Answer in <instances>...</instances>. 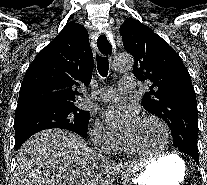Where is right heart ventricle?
Segmentation results:
<instances>
[{
    "label": "right heart ventricle",
    "mask_w": 207,
    "mask_h": 185,
    "mask_svg": "<svg viewBox=\"0 0 207 185\" xmlns=\"http://www.w3.org/2000/svg\"><path fill=\"white\" fill-rule=\"evenodd\" d=\"M112 149L113 151L122 150V148L117 144Z\"/></svg>",
    "instance_id": "1"
}]
</instances>
